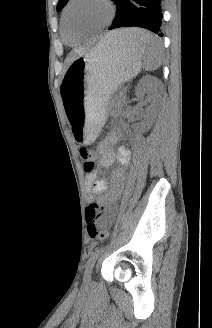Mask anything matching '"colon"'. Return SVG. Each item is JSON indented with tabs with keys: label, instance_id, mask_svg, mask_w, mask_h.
I'll return each instance as SVG.
<instances>
[{
	"label": "colon",
	"instance_id": "obj_1",
	"mask_svg": "<svg viewBox=\"0 0 212 328\" xmlns=\"http://www.w3.org/2000/svg\"><path fill=\"white\" fill-rule=\"evenodd\" d=\"M81 157L84 160V169L86 172H90L94 168L95 164V154L94 151L88 147L84 146L80 149ZM102 214L101 207L96 203H91L86 208V221L88 234L92 239L102 240L105 238V231L99 223V218Z\"/></svg>",
	"mask_w": 212,
	"mask_h": 328
}]
</instances>
